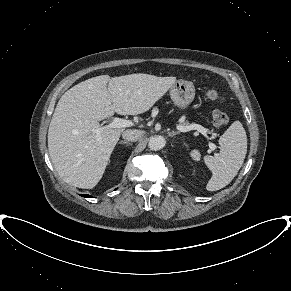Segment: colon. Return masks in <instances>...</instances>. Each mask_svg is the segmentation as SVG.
<instances>
[{
	"instance_id": "colon-1",
	"label": "colon",
	"mask_w": 291,
	"mask_h": 291,
	"mask_svg": "<svg viewBox=\"0 0 291 291\" xmlns=\"http://www.w3.org/2000/svg\"><path fill=\"white\" fill-rule=\"evenodd\" d=\"M204 99L210 103H220L223 101L222 95L215 89L211 88L205 90ZM212 121L215 127L222 128L228 124L229 118L226 113L215 110L212 114Z\"/></svg>"
}]
</instances>
